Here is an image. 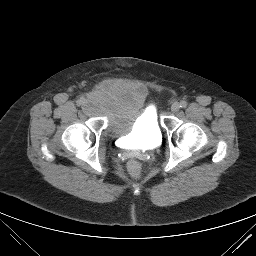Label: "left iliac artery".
<instances>
[{"instance_id": "44dca946", "label": "left iliac artery", "mask_w": 256, "mask_h": 256, "mask_svg": "<svg viewBox=\"0 0 256 256\" xmlns=\"http://www.w3.org/2000/svg\"><path fill=\"white\" fill-rule=\"evenodd\" d=\"M186 106H187V102L184 101V100H182V101L180 102V107H181V108H185Z\"/></svg>"}]
</instances>
